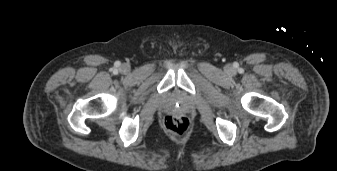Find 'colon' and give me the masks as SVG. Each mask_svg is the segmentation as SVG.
I'll use <instances>...</instances> for the list:
<instances>
[{"label":"colon","instance_id":"1","mask_svg":"<svg viewBox=\"0 0 337 171\" xmlns=\"http://www.w3.org/2000/svg\"><path fill=\"white\" fill-rule=\"evenodd\" d=\"M164 126L169 132L180 135L187 131L189 120L184 116H167Z\"/></svg>","mask_w":337,"mask_h":171}]
</instances>
